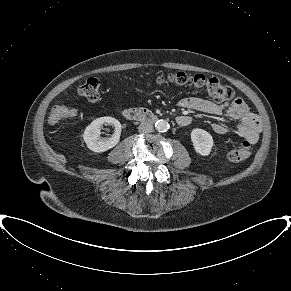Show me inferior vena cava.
<instances>
[{
  "label": "inferior vena cava",
  "mask_w": 291,
  "mask_h": 291,
  "mask_svg": "<svg viewBox=\"0 0 291 291\" xmlns=\"http://www.w3.org/2000/svg\"><path fill=\"white\" fill-rule=\"evenodd\" d=\"M138 130L140 133H150L153 131V125L149 122H143L139 125Z\"/></svg>",
  "instance_id": "602c4592"
}]
</instances>
